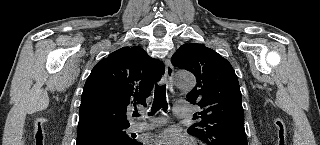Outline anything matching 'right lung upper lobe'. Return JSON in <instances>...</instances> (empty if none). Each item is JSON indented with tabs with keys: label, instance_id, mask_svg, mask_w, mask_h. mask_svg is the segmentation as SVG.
<instances>
[{
	"label": "right lung upper lobe",
	"instance_id": "right-lung-upper-lobe-1",
	"mask_svg": "<svg viewBox=\"0 0 320 145\" xmlns=\"http://www.w3.org/2000/svg\"><path fill=\"white\" fill-rule=\"evenodd\" d=\"M164 73L162 61L139 46L123 47L98 62L81 96L78 135L102 128L129 127L126 111L146 105L154 82Z\"/></svg>",
	"mask_w": 320,
	"mask_h": 145
}]
</instances>
